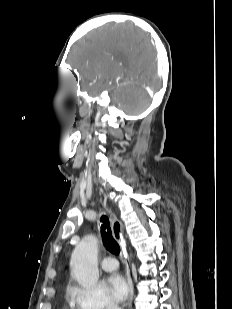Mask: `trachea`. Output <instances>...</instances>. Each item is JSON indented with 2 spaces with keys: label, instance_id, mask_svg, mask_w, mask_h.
I'll use <instances>...</instances> for the list:
<instances>
[{
  "label": "trachea",
  "instance_id": "trachea-1",
  "mask_svg": "<svg viewBox=\"0 0 232 309\" xmlns=\"http://www.w3.org/2000/svg\"><path fill=\"white\" fill-rule=\"evenodd\" d=\"M101 222V236L103 238L104 246L115 255H119L120 246L117 241L114 239L111 231L110 221L107 216L103 215L100 218Z\"/></svg>",
  "mask_w": 232,
  "mask_h": 309
}]
</instances>
